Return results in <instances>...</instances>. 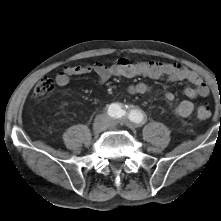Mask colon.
I'll return each mask as SVG.
<instances>
[{"label": "colon", "instance_id": "5ec220e1", "mask_svg": "<svg viewBox=\"0 0 221 221\" xmlns=\"http://www.w3.org/2000/svg\"><path fill=\"white\" fill-rule=\"evenodd\" d=\"M55 87L54 81L51 78H42L34 88L33 94L35 98H41L53 91ZM210 108L205 104H199L196 108V116L200 120H206L210 117Z\"/></svg>", "mask_w": 221, "mask_h": 221}]
</instances>
